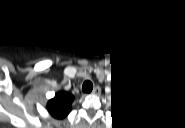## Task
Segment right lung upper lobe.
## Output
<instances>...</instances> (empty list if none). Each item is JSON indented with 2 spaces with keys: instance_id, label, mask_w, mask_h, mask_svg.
Masks as SVG:
<instances>
[{
  "instance_id": "cb5924a9",
  "label": "right lung upper lobe",
  "mask_w": 185,
  "mask_h": 128,
  "mask_svg": "<svg viewBox=\"0 0 185 128\" xmlns=\"http://www.w3.org/2000/svg\"><path fill=\"white\" fill-rule=\"evenodd\" d=\"M71 102L65 95H57L49 104V111L53 116H64L70 111Z\"/></svg>"
}]
</instances>
